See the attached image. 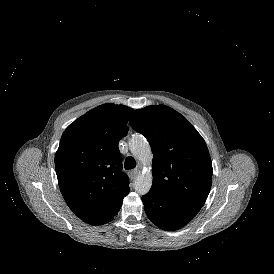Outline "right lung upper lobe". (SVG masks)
I'll use <instances>...</instances> for the list:
<instances>
[{"instance_id":"obj_1","label":"right lung upper lobe","mask_w":274,"mask_h":274,"mask_svg":"<svg viewBox=\"0 0 274 274\" xmlns=\"http://www.w3.org/2000/svg\"><path fill=\"white\" fill-rule=\"evenodd\" d=\"M134 110L104 104L75 120L64 131L55 154L61 193L70 209L91 225L105 224L129 193L118 148Z\"/></svg>"}]
</instances>
